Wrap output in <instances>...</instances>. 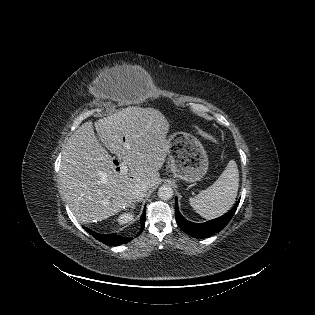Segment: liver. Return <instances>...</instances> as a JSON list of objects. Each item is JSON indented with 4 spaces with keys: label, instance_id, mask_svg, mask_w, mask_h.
Here are the masks:
<instances>
[{
    "label": "liver",
    "instance_id": "1",
    "mask_svg": "<svg viewBox=\"0 0 315 315\" xmlns=\"http://www.w3.org/2000/svg\"><path fill=\"white\" fill-rule=\"evenodd\" d=\"M133 71L134 67H127ZM95 130L106 148L129 172L115 170L111 156L95 136L93 123H83L62 152L60 179L67 205L80 222H98L119 213L143 182L159 183L158 170L170 150V124L154 108L130 106L97 120Z\"/></svg>",
    "mask_w": 315,
    "mask_h": 315
}]
</instances>
